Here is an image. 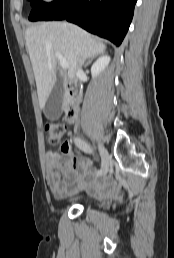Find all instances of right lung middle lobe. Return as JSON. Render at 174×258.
Here are the masks:
<instances>
[{
	"label": "right lung middle lobe",
	"instance_id": "right-lung-middle-lobe-1",
	"mask_svg": "<svg viewBox=\"0 0 174 258\" xmlns=\"http://www.w3.org/2000/svg\"><path fill=\"white\" fill-rule=\"evenodd\" d=\"M33 10L30 13L29 20L30 21H39L43 18V16L47 13L50 5L48 3L43 2L42 0H30Z\"/></svg>",
	"mask_w": 174,
	"mask_h": 258
}]
</instances>
